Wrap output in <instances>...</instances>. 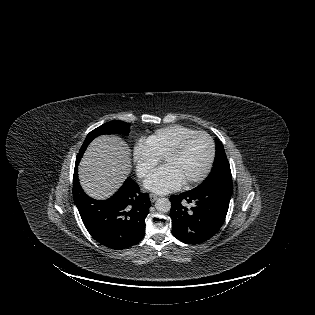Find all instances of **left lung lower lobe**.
Wrapping results in <instances>:
<instances>
[{"label": "left lung lower lobe", "mask_w": 315, "mask_h": 315, "mask_svg": "<svg viewBox=\"0 0 315 315\" xmlns=\"http://www.w3.org/2000/svg\"><path fill=\"white\" fill-rule=\"evenodd\" d=\"M232 189L198 186L170 197L172 233L186 244H199L221 228L229 208ZM185 201L192 203L191 208Z\"/></svg>", "instance_id": "1"}]
</instances>
